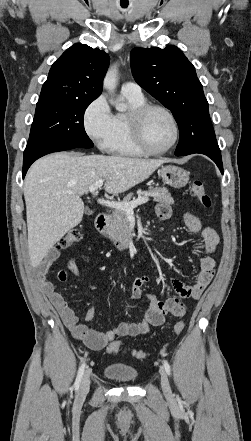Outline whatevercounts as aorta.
I'll list each match as a JSON object with an SVG mask.
<instances>
[{"label":"aorta","mask_w":251,"mask_h":441,"mask_svg":"<svg viewBox=\"0 0 251 441\" xmlns=\"http://www.w3.org/2000/svg\"><path fill=\"white\" fill-rule=\"evenodd\" d=\"M118 69L117 65H113L109 68L108 72L106 73V76L104 78L103 86L109 93H114L117 81H118ZM115 108L117 111L124 112L127 109V106L123 103H114Z\"/></svg>","instance_id":"obj_1"}]
</instances>
